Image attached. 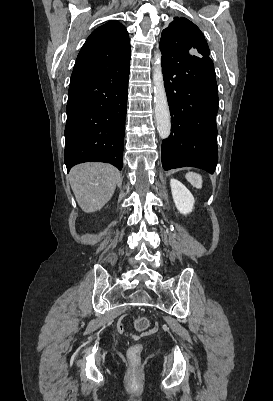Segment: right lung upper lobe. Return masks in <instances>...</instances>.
I'll use <instances>...</instances> for the list:
<instances>
[{
    "mask_svg": "<svg viewBox=\"0 0 273 401\" xmlns=\"http://www.w3.org/2000/svg\"><path fill=\"white\" fill-rule=\"evenodd\" d=\"M128 59V32L118 21H110L95 29L87 38L78 54L69 88L94 79Z\"/></svg>",
    "mask_w": 273,
    "mask_h": 401,
    "instance_id": "obj_1",
    "label": "right lung upper lobe"
}]
</instances>
